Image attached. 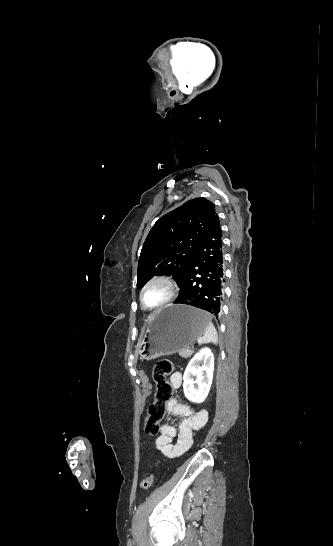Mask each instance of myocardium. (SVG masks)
Segmentation results:
<instances>
[{
  "instance_id": "obj_1",
  "label": "myocardium",
  "mask_w": 333,
  "mask_h": 546,
  "mask_svg": "<svg viewBox=\"0 0 333 546\" xmlns=\"http://www.w3.org/2000/svg\"><path fill=\"white\" fill-rule=\"evenodd\" d=\"M154 283H162V284L166 285L167 288L169 289V295L162 303H160L159 305L151 307V306H148L146 304L144 294H145V291L147 290V288L150 285L154 284ZM177 291H178V285H177L176 281L171 276H169L167 274H156V275L152 276L151 278H149L146 281V283L143 285V287L141 288V290H140V302L147 309H150V310L160 309V308L168 305L175 298V296L177 294Z\"/></svg>"
}]
</instances>
